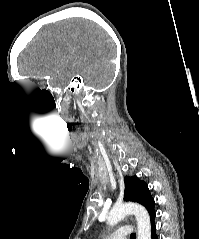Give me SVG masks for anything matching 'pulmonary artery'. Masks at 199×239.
<instances>
[{
    "mask_svg": "<svg viewBox=\"0 0 199 239\" xmlns=\"http://www.w3.org/2000/svg\"><path fill=\"white\" fill-rule=\"evenodd\" d=\"M132 231V226L131 225H125L112 233L108 239H126L127 235L131 233Z\"/></svg>",
    "mask_w": 199,
    "mask_h": 239,
    "instance_id": "obj_1",
    "label": "pulmonary artery"
}]
</instances>
